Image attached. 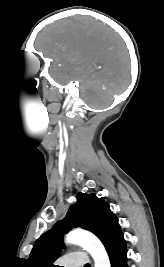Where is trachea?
<instances>
[{"label": "trachea", "instance_id": "trachea-1", "mask_svg": "<svg viewBox=\"0 0 164 267\" xmlns=\"http://www.w3.org/2000/svg\"><path fill=\"white\" fill-rule=\"evenodd\" d=\"M84 267H90V265L89 264H86Z\"/></svg>", "mask_w": 164, "mask_h": 267}]
</instances>
